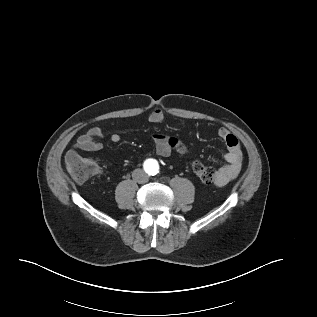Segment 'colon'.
<instances>
[{
    "instance_id": "1",
    "label": "colon",
    "mask_w": 317,
    "mask_h": 317,
    "mask_svg": "<svg viewBox=\"0 0 317 317\" xmlns=\"http://www.w3.org/2000/svg\"><path fill=\"white\" fill-rule=\"evenodd\" d=\"M69 170L77 182H84L97 172V166L92 160L80 157L69 162ZM192 171L204 184L212 183L217 173L213 166L204 164L199 160L192 162Z\"/></svg>"
}]
</instances>
